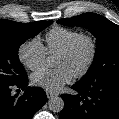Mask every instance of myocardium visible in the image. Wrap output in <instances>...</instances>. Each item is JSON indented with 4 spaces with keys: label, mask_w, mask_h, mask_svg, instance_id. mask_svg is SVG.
<instances>
[{
    "label": "myocardium",
    "mask_w": 119,
    "mask_h": 119,
    "mask_svg": "<svg viewBox=\"0 0 119 119\" xmlns=\"http://www.w3.org/2000/svg\"><path fill=\"white\" fill-rule=\"evenodd\" d=\"M81 43H86L88 45L89 56L85 65L74 74L75 78H81L85 76L93 66L97 55V44L95 39L90 35L81 34L76 37L67 47L59 52V55L71 56L75 53Z\"/></svg>",
    "instance_id": "myocardium-1"
}]
</instances>
